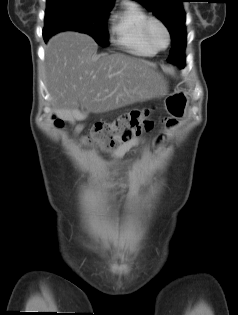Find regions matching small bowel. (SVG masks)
Wrapping results in <instances>:
<instances>
[{
	"label": "small bowel",
	"mask_w": 238,
	"mask_h": 315,
	"mask_svg": "<svg viewBox=\"0 0 238 315\" xmlns=\"http://www.w3.org/2000/svg\"><path fill=\"white\" fill-rule=\"evenodd\" d=\"M169 125H171V124L169 123ZM77 129H79V128H77ZM142 142H143L142 137H134L131 140L118 145L112 151L111 157L113 159H118V158L122 157L129 149L140 145ZM162 142H163L162 137H155V139L152 140L151 145H152V147H159V145L162 144Z\"/></svg>",
	"instance_id": "1"
}]
</instances>
